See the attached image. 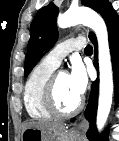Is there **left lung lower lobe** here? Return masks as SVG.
<instances>
[{"label":"left lung lower lobe","mask_w":119,"mask_h":141,"mask_svg":"<svg viewBox=\"0 0 119 141\" xmlns=\"http://www.w3.org/2000/svg\"><path fill=\"white\" fill-rule=\"evenodd\" d=\"M108 36H109V47L112 58L114 84H115V100L119 102V17L116 15L115 11L105 20ZM90 40L95 45V61L94 65L98 69V59H97V42L96 36L92 34ZM98 84L97 79L91 85V93L89 97L88 106L85 111V117L90 122V127L87 132V138L89 141H97L98 134L96 130L95 120H96V110L98 102ZM103 141L106 140V136H103Z\"/></svg>","instance_id":"obj_1"}]
</instances>
